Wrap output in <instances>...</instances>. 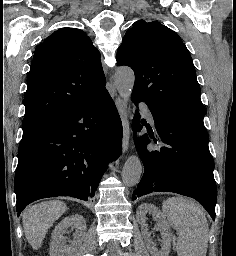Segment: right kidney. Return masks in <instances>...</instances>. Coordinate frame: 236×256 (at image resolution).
I'll return each instance as SVG.
<instances>
[{
	"mask_svg": "<svg viewBox=\"0 0 236 256\" xmlns=\"http://www.w3.org/2000/svg\"><path fill=\"white\" fill-rule=\"evenodd\" d=\"M68 228L75 230L73 234V240L69 246H67V238L63 236L67 232ZM87 228L85 218L74 214V216H68L61 220L52 234V242L49 248L50 256H79L80 250L85 242Z\"/></svg>",
	"mask_w": 236,
	"mask_h": 256,
	"instance_id": "1",
	"label": "right kidney"
}]
</instances>
